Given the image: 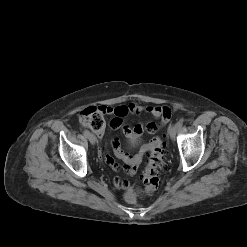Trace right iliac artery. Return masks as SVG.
I'll return each instance as SVG.
<instances>
[{"mask_svg":"<svg viewBox=\"0 0 247 247\" xmlns=\"http://www.w3.org/2000/svg\"><path fill=\"white\" fill-rule=\"evenodd\" d=\"M83 134H84L86 137H88L89 134H90V132H89L88 130H84V131H83Z\"/></svg>","mask_w":247,"mask_h":247,"instance_id":"right-iliac-artery-1","label":"right iliac artery"}]
</instances>
